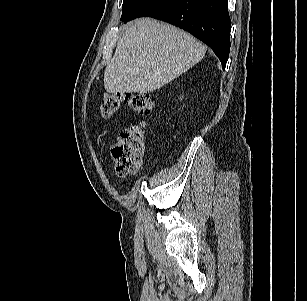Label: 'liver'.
Here are the masks:
<instances>
[{
  "instance_id": "liver-1",
  "label": "liver",
  "mask_w": 307,
  "mask_h": 301,
  "mask_svg": "<svg viewBox=\"0 0 307 301\" xmlns=\"http://www.w3.org/2000/svg\"><path fill=\"white\" fill-rule=\"evenodd\" d=\"M207 47L190 34L154 19L130 24L104 72L109 93L160 89L201 61Z\"/></svg>"
}]
</instances>
